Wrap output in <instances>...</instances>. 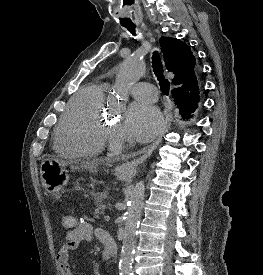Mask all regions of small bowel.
Masks as SVG:
<instances>
[{"instance_id": "obj_1", "label": "small bowel", "mask_w": 263, "mask_h": 275, "mask_svg": "<svg viewBox=\"0 0 263 275\" xmlns=\"http://www.w3.org/2000/svg\"><path fill=\"white\" fill-rule=\"evenodd\" d=\"M105 231L94 228V226L86 221L76 224L74 228L66 232L65 241L59 249L56 259L61 268L62 275H73L70 265V253L78 249L80 244L92 241L93 235L102 241Z\"/></svg>"}]
</instances>
